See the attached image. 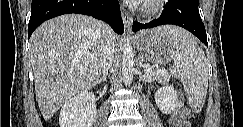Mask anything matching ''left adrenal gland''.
<instances>
[{
	"label": "left adrenal gland",
	"mask_w": 243,
	"mask_h": 127,
	"mask_svg": "<svg viewBox=\"0 0 243 127\" xmlns=\"http://www.w3.org/2000/svg\"><path fill=\"white\" fill-rule=\"evenodd\" d=\"M140 67H142V63H140Z\"/></svg>",
	"instance_id": "1"
}]
</instances>
